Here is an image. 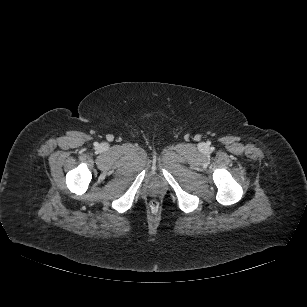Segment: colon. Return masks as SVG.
I'll list each match as a JSON object with an SVG mask.
<instances>
[{
    "label": "colon",
    "mask_w": 307,
    "mask_h": 307,
    "mask_svg": "<svg viewBox=\"0 0 307 307\" xmlns=\"http://www.w3.org/2000/svg\"><path fill=\"white\" fill-rule=\"evenodd\" d=\"M151 208L152 209H157L158 208V202L157 201H152L151 202Z\"/></svg>",
    "instance_id": "obj_1"
}]
</instances>
